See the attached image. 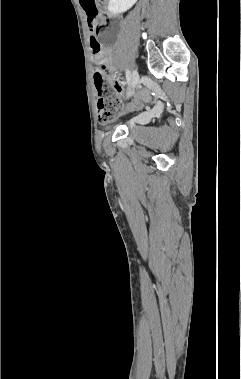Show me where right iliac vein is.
Returning <instances> with one entry per match:
<instances>
[{"instance_id": "63e3f726", "label": "right iliac vein", "mask_w": 241, "mask_h": 379, "mask_svg": "<svg viewBox=\"0 0 241 379\" xmlns=\"http://www.w3.org/2000/svg\"><path fill=\"white\" fill-rule=\"evenodd\" d=\"M138 83H139V75H138V72L136 70H134L133 73H132L131 83H130V86H129V89H128V93H127L128 97H130L133 94V92H134L135 88L137 87ZM157 109L158 108L155 107L152 110L151 114L155 113L157 111Z\"/></svg>"}]
</instances>
